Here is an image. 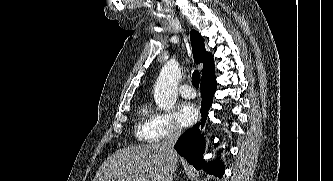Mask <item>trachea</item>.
<instances>
[{
  "label": "trachea",
  "mask_w": 333,
  "mask_h": 181,
  "mask_svg": "<svg viewBox=\"0 0 333 181\" xmlns=\"http://www.w3.org/2000/svg\"><path fill=\"white\" fill-rule=\"evenodd\" d=\"M200 83V73L199 71L195 70L192 75V84L198 88Z\"/></svg>",
  "instance_id": "1"
}]
</instances>
